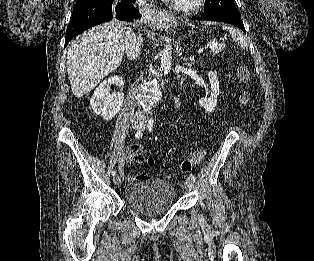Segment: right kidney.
I'll return each instance as SVG.
<instances>
[{
  "mask_svg": "<svg viewBox=\"0 0 314 261\" xmlns=\"http://www.w3.org/2000/svg\"><path fill=\"white\" fill-rule=\"evenodd\" d=\"M114 82L119 86H124L122 77H111L100 83L90 99L93 111L101 115L105 120H111L123 105L124 94L122 92L110 94V85Z\"/></svg>",
  "mask_w": 314,
  "mask_h": 261,
  "instance_id": "right-kidney-1",
  "label": "right kidney"
}]
</instances>
